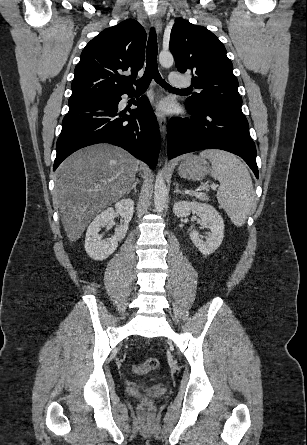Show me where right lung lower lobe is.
I'll list each match as a JSON object with an SVG mask.
<instances>
[{"label":"right lung lower lobe","instance_id":"right-lung-lower-lobe-1","mask_svg":"<svg viewBox=\"0 0 307 445\" xmlns=\"http://www.w3.org/2000/svg\"><path fill=\"white\" fill-rule=\"evenodd\" d=\"M125 93L131 96L134 89L69 102L53 170L76 150L105 142L124 148L151 168L156 166L160 150L156 116L146 96L135 102L138 108L131 115L118 112V102Z\"/></svg>","mask_w":307,"mask_h":445}]
</instances>
